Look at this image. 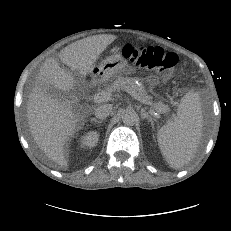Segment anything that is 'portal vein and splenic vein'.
<instances>
[{
    "label": "portal vein and splenic vein",
    "mask_w": 231,
    "mask_h": 231,
    "mask_svg": "<svg viewBox=\"0 0 231 231\" xmlns=\"http://www.w3.org/2000/svg\"><path fill=\"white\" fill-rule=\"evenodd\" d=\"M124 89L136 100L140 101L143 104H148V102L145 99H143L135 90L131 89L128 86H125ZM111 96H112L111 91L98 92L93 96V101L96 103L105 102L110 100Z\"/></svg>",
    "instance_id": "portal-vein-and-splenic-vein-1"
}]
</instances>
